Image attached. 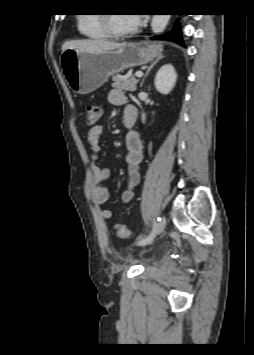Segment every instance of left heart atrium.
I'll use <instances>...</instances> for the list:
<instances>
[{"label":"left heart atrium","instance_id":"left-heart-atrium-1","mask_svg":"<svg viewBox=\"0 0 254 355\" xmlns=\"http://www.w3.org/2000/svg\"><path fill=\"white\" fill-rule=\"evenodd\" d=\"M131 17L135 26H139L144 22L146 15L143 13H136L133 14Z\"/></svg>","mask_w":254,"mask_h":355}]
</instances>
